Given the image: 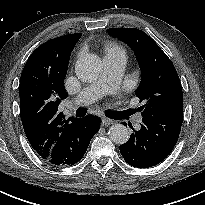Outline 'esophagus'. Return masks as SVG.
Wrapping results in <instances>:
<instances>
[{
	"mask_svg": "<svg viewBox=\"0 0 205 205\" xmlns=\"http://www.w3.org/2000/svg\"><path fill=\"white\" fill-rule=\"evenodd\" d=\"M111 124H113V121L111 119L106 118V117L101 118V125L102 126H109Z\"/></svg>",
	"mask_w": 205,
	"mask_h": 205,
	"instance_id": "esophagus-1",
	"label": "esophagus"
}]
</instances>
